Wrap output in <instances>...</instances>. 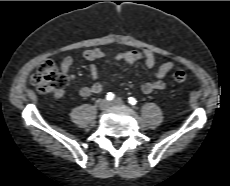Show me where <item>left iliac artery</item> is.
I'll return each mask as SVG.
<instances>
[{
	"mask_svg": "<svg viewBox=\"0 0 230 186\" xmlns=\"http://www.w3.org/2000/svg\"><path fill=\"white\" fill-rule=\"evenodd\" d=\"M128 103L131 104V105H136L137 101H136L135 98L129 97V98H128Z\"/></svg>",
	"mask_w": 230,
	"mask_h": 186,
	"instance_id": "left-iliac-artery-1",
	"label": "left iliac artery"
}]
</instances>
